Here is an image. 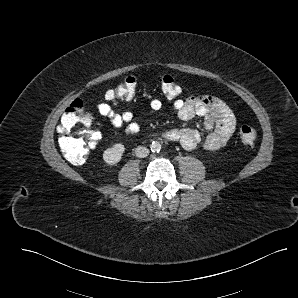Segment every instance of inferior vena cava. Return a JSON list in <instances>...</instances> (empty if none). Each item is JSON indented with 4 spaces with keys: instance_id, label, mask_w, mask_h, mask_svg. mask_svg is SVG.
<instances>
[{
    "instance_id": "obj_1",
    "label": "inferior vena cava",
    "mask_w": 298,
    "mask_h": 298,
    "mask_svg": "<svg viewBox=\"0 0 298 298\" xmlns=\"http://www.w3.org/2000/svg\"><path fill=\"white\" fill-rule=\"evenodd\" d=\"M135 154L137 157L144 158L149 155V149L145 146H138L135 149Z\"/></svg>"
}]
</instances>
